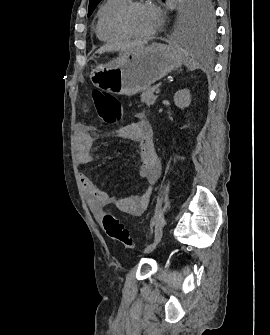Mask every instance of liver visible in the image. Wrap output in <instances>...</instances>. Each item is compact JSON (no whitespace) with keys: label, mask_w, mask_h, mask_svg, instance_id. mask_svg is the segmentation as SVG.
I'll return each mask as SVG.
<instances>
[{"label":"liver","mask_w":270,"mask_h":335,"mask_svg":"<svg viewBox=\"0 0 270 335\" xmlns=\"http://www.w3.org/2000/svg\"><path fill=\"white\" fill-rule=\"evenodd\" d=\"M137 48H143V44H124V46H121L120 50H123V52H132V50H137ZM110 50V46H102V48H99L97 50V54H103V52H108Z\"/></svg>","instance_id":"obj_1"}]
</instances>
